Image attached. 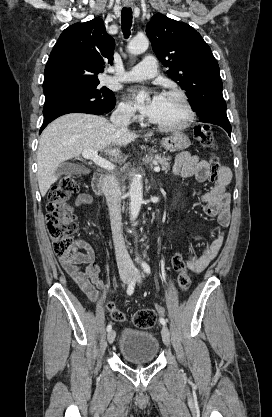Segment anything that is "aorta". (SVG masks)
<instances>
[{
    "label": "aorta",
    "mask_w": 272,
    "mask_h": 417,
    "mask_svg": "<svg viewBox=\"0 0 272 417\" xmlns=\"http://www.w3.org/2000/svg\"><path fill=\"white\" fill-rule=\"evenodd\" d=\"M149 41L145 36H136L128 44V51L133 55H138L145 52L148 49ZM143 184L139 175H135L132 179L129 195H130V217L131 220H135L140 212L143 202Z\"/></svg>",
    "instance_id": "762f6f07"
}]
</instances>
